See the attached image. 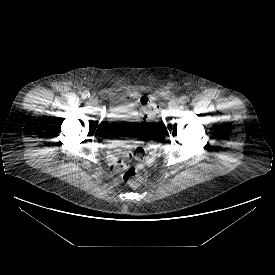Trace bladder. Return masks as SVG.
Segmentation results:
<instances>
[{
  "instance_id": "bladder-1",
  "label": "bladder",
  "mask_w": 275,
  "mask_h": 275,
  "mask_svg": "<svg viewBox=\"0 0 275 275\" xmlns=\"http://www.w3.org/2000/svg\"><path fill=\"white\" fill-rule=\"evenodd\" d=\"M105 122L107 126L124 128L128 131H136L140 127V117L126 103L111 106ZM114 132H116L114 129L109 130V134Z\"/></svg>"
}]
</instances>
